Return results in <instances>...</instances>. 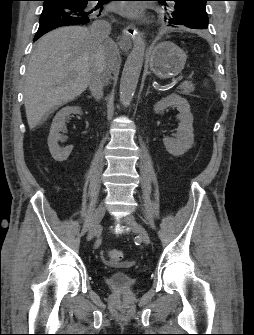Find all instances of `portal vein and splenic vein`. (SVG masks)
<instances>
[{
    "label": "portal vein and splenic vein",
    "instance_id": "obj_1",
    "mask_svg": "<svg viewBox=\"0 0 254 335\" xmlns=\"http://www.w3.org/2000/svg\"><path fill=\"white\" fill-rule=\"evenodd\" d=\"M180 81H181V78H175V79L172 80V83H173V84H177V83H179Z\"/></svg>",
    "mask_w": 254,
    "mask_h": 335
}]
</instances>
